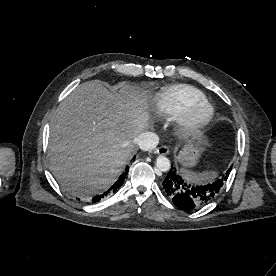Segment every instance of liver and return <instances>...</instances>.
I'll return each instance as SVG.
<instances>
[{
	"label": "liver",
	"instance_id": "6515ba94",
	"mask_svg": "<svg viewBox=\"0 0 276 276\" xmlns=\"http://www.w3.org/2000/svg\"><path fill=\"white\" fill-rule=\"evenodd\" d=\"M146 91L120 83L110 92L100 81L76 87L56 110L49 160L68 193L89 197L110 187L135 151L134 138L149 126Z\"/></svg>",
	"mask_w": 276,
	"mask_h": 276
}]
</instances>
